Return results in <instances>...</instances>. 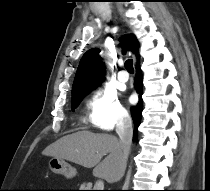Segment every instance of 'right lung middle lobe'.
I'll list each match as a JSON object with an SVG mask.
<instances>
[{"label":"right lung middle lobe","mask_w":210,"mask_h":191,"mask_svg":"<svg viewBox=\"0 0 210 191\" xmlns=\"http://www.w3.org/2000/svg\"><path fill=\"white\" fill-rule=\"evenodd\" d=\"M88 93H85L83 95L77 96L76 98L72 99V110H75L78 105L80 104L81 100L87 95Z\"/></svg>","instance_id":"1"}]
</instances>
